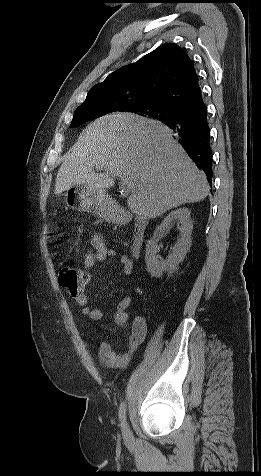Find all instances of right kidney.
<instances>
[{"mask_svg":"<svg viewBox=\"0 0 261 476\" xmlns=\"http://www.w3.org/2000/svg\"><path fill=\"white\" fill-rule=\"evenodd\" d=\"M178 220L181 224L180 238L172 248V253L164 260L157 256L159 252L158 240L160 236H164L171 228L173 221ZM193 223L188 208H179L171 211L155 230L153 237L146 244L145 261L147 271L152 277L159 278L164 271L173 272L179 263H181L188 250L191 247V233Z\"/></svg>","mask_w":261,"mask_h":476,"instance_id":"right-kidney-1","label":"right kidney"}]
</instances>
